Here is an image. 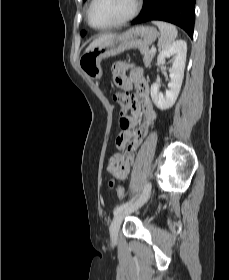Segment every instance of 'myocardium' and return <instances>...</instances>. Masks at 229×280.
<instances>
[{
	"mask_svg": "<svg viewBox=\"0 0 229 280\" xmlns=\"http://www.w3.org/2000/svg\"><path fill=\"white\" fill-rule=\"evenodd\" d=\"M96 2H97V0H92L90 6L88 8V11H87V20H88L89 25L92 28L98 29V30H104V29H108V28L118 27V26H121V25H124V24L130 22L138 15V13L140 12L141 7H142V0H134L133 9H132L131 13L128 14L126 17H124L118 21L103 25V26H97V25H94L91 20L92 10H93Z\"/></svg>",
	"mask_w": 229,
	"mask_h": 280,
	"instance_id": "f54148a6",
	"label": "myocardium"
}]
</instances>
